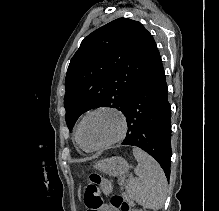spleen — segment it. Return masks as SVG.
Listing matches in <instances>:
<instances>
[{"label":"spleen","mask_w":219,"mask_h":211,"mask_svg":"<svg viewBox=\"0 0 219 211\" xmlns=\"http://www.w3.org/2000/svg\"><path fill=\"white\" fill-rule=\"evenodd\" d=\"M133 155L138 161L135 169L138 177H130L127 181L129 197L143 207L157 211L162 207L167 193L165 173L156 159L140 147H134Z\"/></svg>","instance_id":"3e777b00"}]
</instances>
